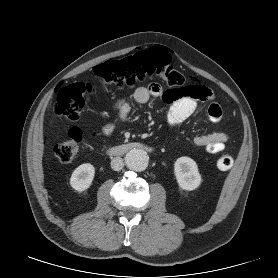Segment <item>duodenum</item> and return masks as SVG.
Returning <instances> with one entry per match:
<instances>
[{"instance_id":"obj_1","label":"duodenum","mask_w":278,"mask_h":278,"mask_svg":"<svg viewBox=\"0 0 278 278\" xmlns=\"http://www.w3.org/2000/svg\"><path fill=\"white\" fill-rule=\"evenodd\" d=\"M138 149L146 150L148 152L152 151V148L148 145L142 143H128V144L112 147L107 151V153L111 156H118V155H123L129 151L138 150Z\"/></svg>"}]
</instances>
